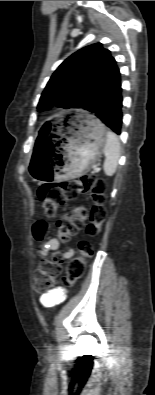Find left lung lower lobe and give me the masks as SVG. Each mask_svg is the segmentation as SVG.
I'll return each mask as SVG.
<instances>
[{"label":"left lung lower lobe","instance_id":"1","mask_svg":"<svg viewBox=\"0 0 155 395\" xmlns=\"http://www.w3.org/2000/svg\"><path fill=\"white\" fill-rule=\"evenodd\" d=\"M122 88L119 68H114L80 103V109L94 114L116 134L122 126Z\"/></svg>","mask_w":155,"mask_h":395}]
</instances>
